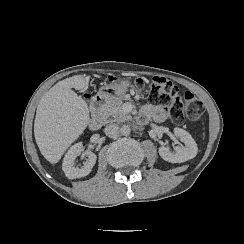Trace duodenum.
I'll return each instance as SVG.
<instances>
[{"label": "duodenum", "instance_id": "1", "mask_svg": "<svg viewBox=\"0 0 244 244\" xmlns=\"http://www.w3.org/2000/svg\"><path fill=\"white\" fill-rule=\"evenodd\" d=\"M113 94L108 92L98 93L91 102L92 116L89 121V127L91 130L98 129L105 121L104 107L106 102L111 98Z\"/></svg>", "mask_w": 244, "mask_h": 244}]
</instances>
